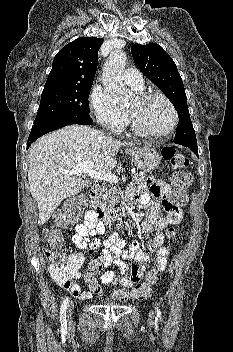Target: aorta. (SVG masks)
<instances>
[{"label":"aorta","instance_id":"762f6f07","mask_svg":"<svg viewBox=\"0 0 233 352\" xmlns=\"http://www.w3.org/2000/svg\"><path fill=\"white\" fill-rule=\"evenodd\" d=\"M126 60L127 57L123 51H113L104 64L102 75L104 87L121 105L127 104L133 97V93L123 82L122 73Z\"/></svg>","mask_w":233,"mask_h":352}]
</instances>
